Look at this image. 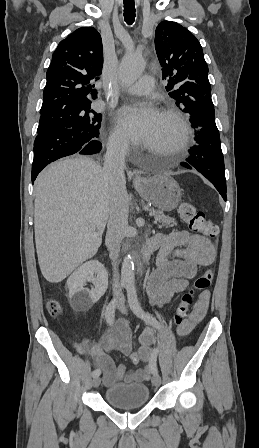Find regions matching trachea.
<instances>
[{"label":"trachea","mask_w":259,"mask_h":448,"mask_svg":"<svg viewBox=\"0 0 259 448\" xmlns=\"http://www.w3.org/2000/svg\"><path fill=\"white\" fill-rule=\"evenodd\" d=\"M124 2V19L128 25H131L135 19V2L134 0H123Z\"/></svg>","instance_id":"trachea-1"}]
</instances>
